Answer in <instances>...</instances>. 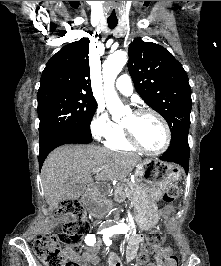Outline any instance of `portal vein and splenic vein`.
<instances>
[{
	"label": "portal vein and splenic vein",
	"mask_w": 221,
	"mask_h": 266,
	"mask_svg": "<svg viewBox=\"0 0 221 266\" xmlns=\"http://www.w3.org/2000/svg\"><path fill=\"white\" fill-rule=\"evenodd\" d=\"M103 167H98V168H95L92 170L93 173H97V172H100L102 171Z\"/></svg>",
	"instance_id": "portal-vein-and-splenic-vein-1"
}]
</instances>
